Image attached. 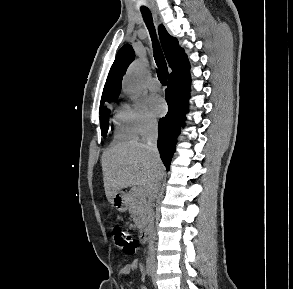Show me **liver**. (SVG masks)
Wrapping results in <instances>:
<instances>
[{
  "mask_svg": "<svg viewBox=\"0 0 293 289\" xmlns=\"http://www.w3.org/2000/svg\"><path fill=\"white\" fill-rule=\"evenodd\" d=\"M105 194L108 200L121 189L139 186L148 194L155 176L163 174L162 163L156 165L146 144L137 140L119 143L102 154Z\"/></svg>",
  "mask_w": 293,
  "mask_h": 289,
  "instance_id": "liver-1",
  "label": "liver"
}]
</instances>
